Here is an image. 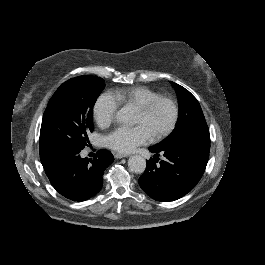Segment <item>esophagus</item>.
<instances>
[{
    "instance_id": "obj_1",
    "label": "esophagus",
    "mask_w": 265,
    "mask_h": 265,
    "mask_svg": "<svg viewBox=\"0 0 265 265\" xmlns=\"http://www.w3.org/2000/svg\"><path fill=\"white\" fill-rule=\"evenodd\" d=\"M114 157L117 158V159H120V158L127 157V155L126 154H122V153H115Z\"/></svg>"
}]
</instances>
